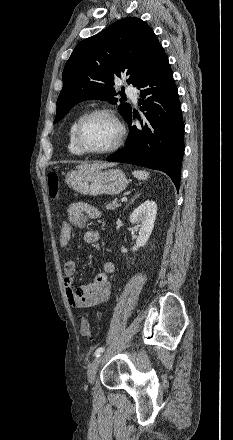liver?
I'll list each match as a JSON object with an SVG mask.
<instances>
[{
    "instance_id": "6515ba94",
    "label": "liver",
    "mask_w": 233,
    "mask_h": 440,
    "mask_svg": "<svg viewBox=\"0 0 233 440\" xmlns=\"http://www.w3.org/2000/svg\"><path fill=\"white\" fill-rule=\"evenodd\" d=\"M113 163H94V164H82V165H78L76 168L77 169H82V168H97V169H103L106 167H111L113 166Z\"/></svg>"
}]
</instances>
